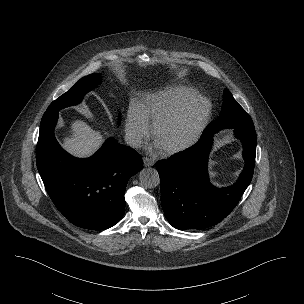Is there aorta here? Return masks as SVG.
<instances>
[{"label":"aorta","mask_w":304,"mask_h":304,"mask_svg":"<svg viewBox=\"0 0 304 304\" xmlns=\"http://www.w3.org/2000/svg\"><path fill=\"white\" fill-rule=\"evenodd\" d=\"M139 180L144 188H154L160 183L159 173L154 168H145L140 171Z\"/></svg>","instance_id":"1"}]
</instances>
